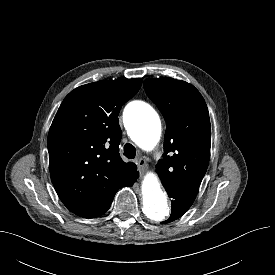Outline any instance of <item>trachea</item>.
I'll list each match as a JSON object with an SVG mask.
<instances>
[{
    "instance_id": "3493384b",
    "label": "trachea",
    "mask_w": 275,
    "mask_h": 275,
    "mask_svg": "<svg viewBox=\"0 0 275 275\" xmlns=\"http://www.w3.org/2000/svg\"><path fill=\"white\" fill-rule=\"evenodd\" d=\"M124 155L127 158H130V159L135 158V156H136V149H135V147L132 144H130V143L125 144L124 145Z\"/></svg>"
}]
</instances>
